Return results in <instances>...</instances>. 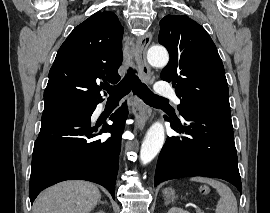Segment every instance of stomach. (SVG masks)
Here are the masks:
<instances>
[{
	"mask_svg": "<svg viewBox=\"0 0 270 213\" xmlns=\"http://www.w3.org/2000/svg\"><path fill=\"white\" fill-rule=\"evenodd\" d=\"M163 193H164V196L166 197V199H168V200H170V199L173 200L175 198V192L172 188L165 189L163 191Z\"/></svg>",
	"mask_w": 270,
	"mask_h": 213,
	"instance_id": "obj_1",
	"label": "stomach"
}]
</instances>
